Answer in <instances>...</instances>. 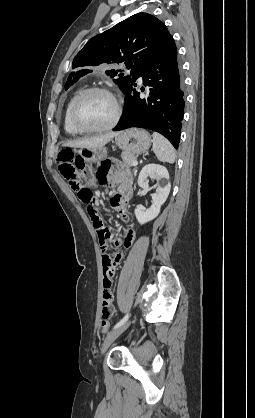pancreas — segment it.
<instances>
[{
	"label": "pancreas",
	"instance_id": "pancreas-1",
	"mask_svg": "<svg viewBox=\"0 0 255 418\" xmlns=\"http://www.w3.org/2000/svg\"><path fill=\"white\" fill-rule=\"evenodd\" d=\"M121 157L126 167H130L132 165V162L136 160L135 155H131L125 152L122 153Z\"/></svg>",
	"mask_w": 255,
	"mask_h": 418
}]
</instances>
